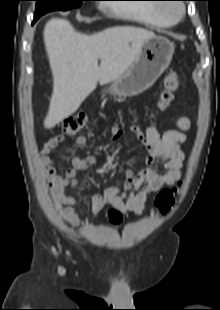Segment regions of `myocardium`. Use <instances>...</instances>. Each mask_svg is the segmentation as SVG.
<instances>
[{"mask_svg": "<svg viewBox=\"0 0 220 310\" xmlns=\"http://www.w3.org/2000/svg\"><path fill=\"white\" fill-rule=\"evenodd\" d=\"M162 14L174 23L183 17L184 7L180 4H165L162 7Z\"/></svg>", "mask_w": 220, "mask_h": 310, "instance_id": "obj_1", "label": "myocardium"}]
</instances>
